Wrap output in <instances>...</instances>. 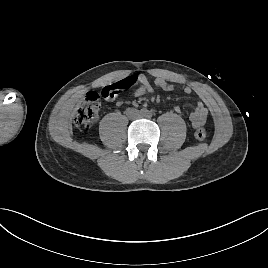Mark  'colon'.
I'll use <instances>...</instances> for the list:
<instances>
[{"mask_svg": "<svg viewBox=\"0 0 268 268\" xmlns=\"http://www.w3.org/2000/svg\"><path fill=\"white\" fill-rule=\"evenodd\" d=\"M135 84L133 78H125L122 81L105 86L100 93L89 92L84 102L76 109L74 114V122L77 126L89 129L94 126L98 119L101 107V98L106 100L114 99L121 91L131 88ZM207 133L204 128H198L194 132L197 141L206 139Z\"/></svg>", "mask_w": 268, "mask_h": 268, "instance_id": "obj_1", "label": "colon"}]
</instances>
